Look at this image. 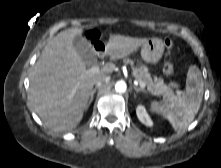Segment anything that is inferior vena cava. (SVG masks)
Here are the masks:
<instances>
[{
  "mask_svg": "<svg viewBox=\"0 0 221 168\" xmlns=\"http://www.w3.org/2000/svg\"><path fill=\"white\" fill-rule=\"evenodd\" d=\"M110 78L105 76V77H101L96 81V87H101L105 84H107L109 82Z\"/></svg>",
  "mask_w": 221,
  "mask_h": 168,
  "instance_id": "obj_1",
  "label": "inferior vena cava"
}]
</instances>
